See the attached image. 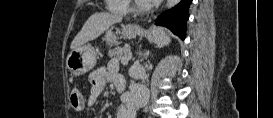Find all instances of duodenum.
Returning <instances> with one entry per match:
<instances>
[{"instance_id":"duodenum-1","label":"duodenum","mask_w":273,"mask_h":118,"mask_svg":"<svg viewBox=\"0 0 273 118\" xmlns=\"http://www.w3.org/2000/svg\"><path fill=\"white\" fill-rule=\"evenodd\" d=\"M116 89L120 92H122L125 89V81H121V80H116L114 82Z\"/></svg>"}]
</instances>
